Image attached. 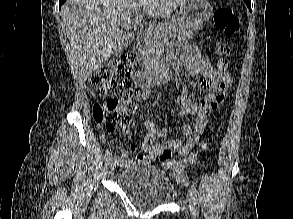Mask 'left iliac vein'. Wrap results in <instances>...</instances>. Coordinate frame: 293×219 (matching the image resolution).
Listing matches in <instances>:
<instances>
[{"mask_svg":"<svg viewBox=\"0 0 293 219\" xmlns=\"http://www.w3.org/2000/svg\"><path fill=\"white\" fill-rule=\"evenodd\" d=\"M187 199H188L190 206H191L192 219H197V209L195 206L194 196L191 194L190 191H188V193H187Z\"/></svg>","mask_w":293,"mask_h":219,"instance_id":"1","label":"left iliac vein"}]
</instances>
